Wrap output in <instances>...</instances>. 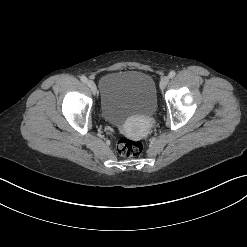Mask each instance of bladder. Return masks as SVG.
<instances>
[{
	"label": "bladder",
	"instance_id": "1",
	"mask_svg": "<svg viewBox=\"0 0 247 247\" xmlns=\"http://www.w3.org/2000/svg\"><path fill=\"white\" fill-rule=\"evenodd\" d=\"M99 93L104 120L117 127L135 116L150 117L157 108L155 83L143 72L106 74L99 80Z\"/></svg>",
	"mask_w": 247,
	"mask_h": 247
}]
</instances>
